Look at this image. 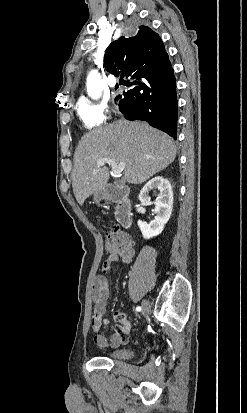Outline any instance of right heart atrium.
Segmentation results:
<instances>
[{
	"label": "right heart atrium",
	"mask_w": 247,
	"mask_h": 413,
	"mask_svg": "<svg viewBox=\"0 0 247 413\" xmlns=\"http://www.w3.org/2000/svg\"><path fill=\"white\" fill-rule=\"evenodd\" d=\"M78 118L87 128H94L96 124L103 123L112 114V105H94L92 100H78L76 103Z\"/></svg>",
	"instance_id": "1"
}]
</instances>
